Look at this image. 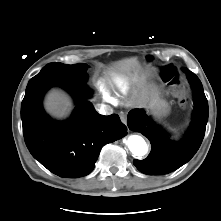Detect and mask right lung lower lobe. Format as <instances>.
I'll list each match as a JSON object with an SVG mask.
<instances>
[{
	"label": "right lung lower lobe",
	"mask_w": 221,
	"mask_h": 221,
	"mask_svg": "<svg viewBox=\"0 0 221 221\" xmlns=\"http://www.w3.org/2000/svg\"><path fill=\"white\" fill-rule=\"evenodd\" d=\"M60 86L75 99L69 120L58 122L43 110L42 97L52 86ZM91 91L85 83H66L33 77L21 105L25 143L35 159L60 177L78 178L89 174L101 148L127 134L117 114L97 113L87 101Z\"/></svg>",
	"instance_id": "right-lung-lower-lobe-1"
}]
</instances>
